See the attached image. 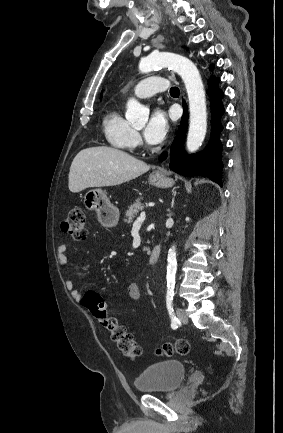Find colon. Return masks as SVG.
Wrapping results in <instances>:
<instances>
[{
	"mask_svg": "<svg viewBox=\"0 0 283 433\" xmlns=\"http://www.w3.org/2000/svg\"><path fill=\"white\" fill-rule=\"evenodd\" d=\"M61 229L75 241H84L87 238V225L83 210L81 208H72L67 218L62 222ZM82 304L109 331L112 341L123 355L131 359L141 355V347L135 341L134 336L124 326L120 325L115 318L108 316L105 301L98 292L87 291L82 298ZM189 350V342L180 339L174 344L165 343L157 349V354L162 356L185 355Z\"/></svg>",
	"mask_w": 283,
	"mask_h": 433,
	"instance_id": "obj_1",
	"label": "colon"
}]
</instances>
